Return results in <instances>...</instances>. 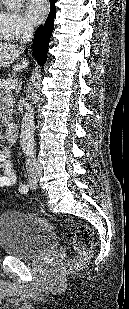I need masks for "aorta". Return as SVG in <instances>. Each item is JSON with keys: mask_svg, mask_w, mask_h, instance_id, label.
<instances>
[{"mask_svg": "<svg viewBox=\"0 0 129 309\" xmlns=\"http://www.w3.org/2000/svg\"><path fill=\"white\" fill-rule=\"evenodd\" d=\"M23 0H5V4L10 10H15L18 8ZM35 116H34V108L32 104H30L26 112L22 118L21 122V146L23 152L27 156H32L35 154V140H34V132H35Z\"/></svg>", "mask_w": 129, "mask_h": 309, "instance_id": "762f6f07", "label": "aorta"}]
</instances>
